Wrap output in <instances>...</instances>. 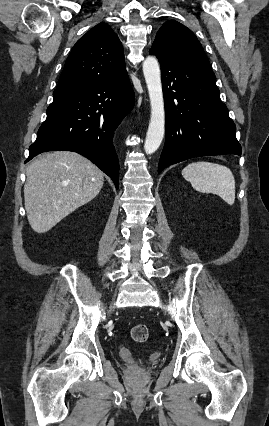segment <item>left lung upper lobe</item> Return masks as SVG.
<instances>
[{
	"label": "left lung upper lobe",
	"mask_w": 269,
	"mask_h": 426,
	"mask_svg": "<svg viewBox=\"0 0 269 426\" xmlns=\"http://www.w3.org/2000/svg\"><path fill=\"white\" fill-rule=\"evenodd\" d=\"M150 50L166 57L187 61L213 72L194 33L175 20H169L161 26Z\"/></svg>",
	"instance_id": "5c2ea615"
}]
</instances>
